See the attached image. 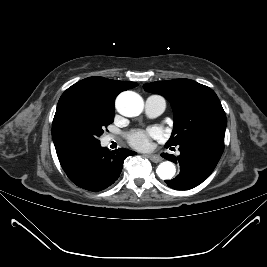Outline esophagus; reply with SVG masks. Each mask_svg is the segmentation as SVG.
Listing matches in <instances>:
<instances>
[{"instance_id": "esophagus-1", "label": "esophagus", "mask_w": 267, "mask_h": 267, "mask_svg": "<svg viewBox=\"0 0 267 267\" xmlns=\"http://www.w3.org/2000/svg\"><path fill=\"white\" fill-rule=\"evenodd\" d=\"M146 156L154 163H158L162 161V158L158 155L148 154Z\"/></svg>"}]
</instances>
